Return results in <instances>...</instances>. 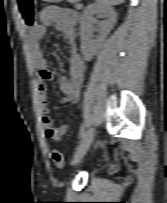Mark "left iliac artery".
Segmentation results:
<instances>
[{
    "mask_svg": "<svg viewBox=\"0 0 167 203\" xmlns=\"http://www.w3.org/2000/svg\"><path fill=\"white\" fill-rule=\"evenodd\" d=\"M84 132H85V127H84V125L82 124L81 127H80V131H79V138H82V137H83Z\"/></svg>",
    "mask_w": 167,
    "mask_h": 203,
    "instance_id": "1",
    "label": "left iliac artery"
}]
</instances>
